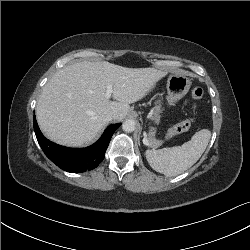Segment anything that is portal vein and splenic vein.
I'll return each instance as SVG.
<instances>
[{
    "instance_id": "18ae733b",
    "label": "portal vein and splenic vein",
    "mask_w": 250,
    "mask_h": 250,
    "mask_svg": "<svg viewBox=\"0 0 250 250\" xmlns=\"http://www.w3.org/2000/svg\"><path fill=\"white\" fill-rule=\"evenodd\" d=\"M112 93H113V87L111 84H108L107 89H106V94H105L106 98L109 99L111 97Z\"/></svg>"
}]
</instances>
